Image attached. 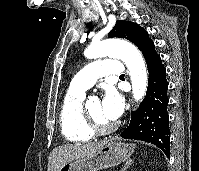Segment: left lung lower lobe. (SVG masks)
<instances>
[{"label": "left lung lower lobe", "mask_w": 199, "mask_h": 171, "mask_svg": "<svg viewBox=\"0 0 199 171\" xmlns=\"http://www.w3.org/2000/svg\"><path fill=\"white\" fill-rule=\"evenodd\" d=\"M141 51L149 72L148 89L139 108L131 112L130 124L120 136L152 143L170 157L166 69L152 40Z\"/></svg>", "instance_id": "0a47b994"}]
</instances>
